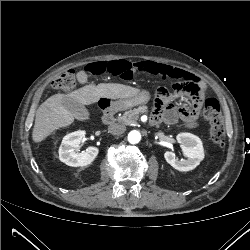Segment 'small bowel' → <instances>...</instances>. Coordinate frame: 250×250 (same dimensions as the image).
I'll use <instances>...</instances> for the list:
<instances>
[{
	"mask_svg": "<svg viewBox=\"0 0 250 250\" xmlns=\"http://www.w3.org/2000/svg\"><path fill=\"white\" fill-rule=\"evenodd\" d=\"M135 65L152 74L176 80L174 89L181 95H192L191 92H196L194 99L180 106H175L170 100L169 91L161 88L160 95L155 103L153 115L154 119L164 120L169 124L181 119L187 127L196 128L199 124L198 115L206 93L205 83L196 75L172 65L151 60L141 61ZM77 78L80 83L87 81V75L84 71L78 72Z\"/></svg>",
	"mask_w": 250,
	"mask_h": 250,
	"instance_id": "c3829d8e",
	"label": "small bowel"
}]
</instances>
